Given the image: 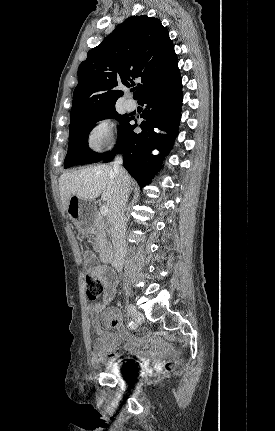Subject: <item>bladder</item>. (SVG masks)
Instances as JSON below:
<instances>
[{
    "label": "bladder",
    "instance_id": "1",
    "mask_svg": "<svg viewBox=\"0 0 275 431\" xmlns=\"http://www.w3.org/2000/svg\"><path fill=\"white\" fill-rule=\"evenodd\" d=\"M133 367V363L127 366V361L118 360L116 362L106 364V370L115 376L117 379H124L128 375L129 368Z\"/></svg>",
    "mask_w": 275,
    "mask_h": 431
}]
</instances>
